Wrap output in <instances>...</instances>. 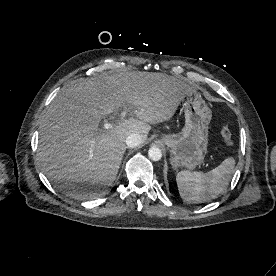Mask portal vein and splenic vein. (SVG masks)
Wrapping results in <instances>:
<instances>
[{"mask_svg":"<svg viewBox=\"0 0 276 276\" xmlns=\"http://www.w3.org/2000/svg\"><path fill=\"white\" fill-rule=\"evenodd\" d=\"M125 115H126V111H123L122 113H121V115H120V119H123L124 117H125ZM112 127V125L110 124V123H105L104 124V129H109V128H111Z\"/></svg>","mask_w":276,"mask_h":276,"instance_id":"1","label":"portal vein and splenic vein"}]
</instances>
